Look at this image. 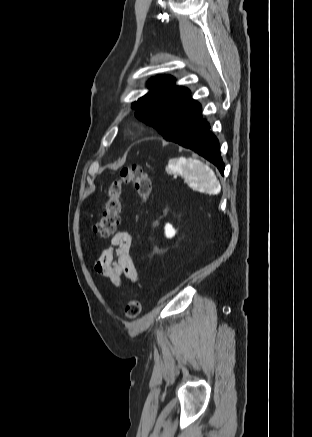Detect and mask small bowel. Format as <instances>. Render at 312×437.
<instances>
[{"label":"small bowel","mask_w":312,"mask_h":437,"mask_svg":"<svg viewBox=\"0 0 312 437\" xmlns=\"http://www.w3.org/2000/svg\"><path fill=\"white\" fill-rule=\"evenodd\" d=\"M95 271L110 278L116 285L124 276L132 282L138 281V274L131 256V235L119 231L111 239L110 246L100 254L94 265Z\"/></svg>","instance_id":"c3829d8e"}]
</instances>
